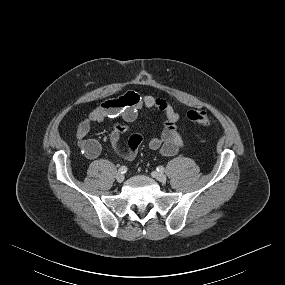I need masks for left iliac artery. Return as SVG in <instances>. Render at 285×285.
I'll use <instances>...</instances> for the list:
<instances>
[{
  "label": "left iliac artery",
  "mask_w": 285,
  "mask_h": 285,
  "mask_svg": "<svg viewBox=\"0 0 285 285\" xmlns=\"http://www.w3.org/2000/svg\"><path fill=\"white\" fill-rule=\"evenodd\" d=\"M157 171L162 173V172L165 171V169H164L163 166H158V167H157Z\"/></svg>",
  "instance_id": "1"
}]
</instances>
